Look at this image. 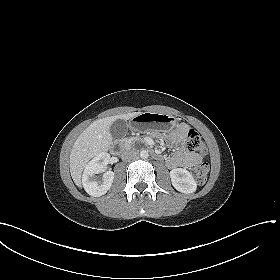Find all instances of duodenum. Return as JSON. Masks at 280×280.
I'll return each mask as SVG.
<instances>
[{
  "label": "duodenum",
  "instance_id": "1",
  "mask_svg": "<svg viewBox=\"0 0 280 280\" xmlns=\"http://www.w3.org/2000/svg\"><path fill=\"white\" fill-rule=\"evenodd\" d=\"M115 149L119 151H124L126 149V145L124 142H118L115 144ZM152 157L156 160H161L162 158L161 154L157 152H152Z\"/></svg>",
  "mask_w": 280,
  "mask_h": 280
}]
</instances>
